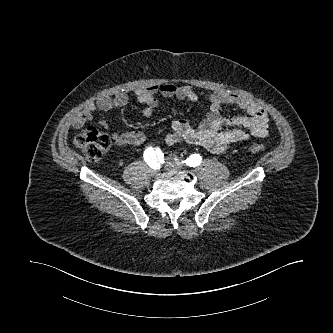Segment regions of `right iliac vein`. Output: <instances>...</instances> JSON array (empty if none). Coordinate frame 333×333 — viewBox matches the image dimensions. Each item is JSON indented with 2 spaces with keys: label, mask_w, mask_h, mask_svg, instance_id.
Returning <instances> with one entry per match:
<instances>
[{
  "label": "right iliac vein",
  "mask_w": 333,
  "mask_h": 333,
  "mask_svg": "<svg viewBox=\"0 0 333 333\" xmlns=\"http://www.w3.org/2000/svg\"><path fill=\"white\" fill-rule=\"evenodd\" d=\"M152 172H153V174H156V173L158 172V168H154V169L152 170Z\"/></svg>",
  "instance_id": "1"
}]
</instances>
